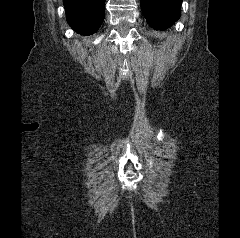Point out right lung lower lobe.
Returning <instances> with one entry per match:
<instances>
[{"mask_svg":"<svg viewBox=\"0 0 240 238\" xmlns=\"http://www.w3.org/2000/svg\"><path fill=\"white\" fill-rule=\"evenodd\" d=\"M66 19L72 29L90 35L101 26L105 16V0H63Z\"/></svg>","mask_w":240,"mask_h":238,"instance_id":"98d812e1","label":"right lung lower lobe"}]
</instances>
